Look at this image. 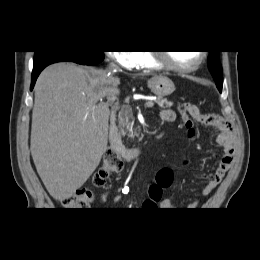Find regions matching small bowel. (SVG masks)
Listing matches in <instances>:
<instances>
[{
  "label": "small bowel",
  "mask_w": 260,
  "mask_h": 260,
  "mask_svg": "<svg viewBox=\"0 0 260 260\" xmlns=\"http://www.w3.org/2000/svg\"><path fill=\"white\" fill-rule=\"evenodd\" d=\"M160 118L162 122L170 123L175 120L176 115L172 110L167 109L161 112ZM194 120L212 128L217 134V143L223 148V156L218 167L212 174L206 176L208 178V183L202 190V194L206 196L219 185L227 171L232 166L235 152V132L231 123L215 114H202L199 112V114L194 117ZM122 190H125V188H122ZM106 194L107 193L103 194L102 199L105 198ZM157 203H159V207L161 209H173L171 200L167 198L161 201L159 200L158 202H152L146 199L144 202V207L155 208ZM197 206L198 200H194L189 204L188 208L195 209Z\"/></svg>",
  "instance_id": "1"
}]
</instances>
